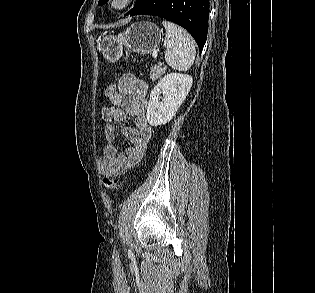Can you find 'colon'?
Instances as JSON below:
<instances>
[{"mask_svg":"<svg viewBox=\"0 0 315 293\" xmlns=\"http://www.w3.org/2000/svg\"><path fill=\"white\" fill-rule=\"evenodd\" d=\"M111 83L113 85L108 86L104 91V95L106 97H108L112 92H115L117 89L115 85L118 83V80L116 78H113L111 80ZM103 184H104L106 189L115 190L119 187V179L116 177H113V176L107 177L103 180Z\"/></svg>","mask_w":315,"mask_h":293,"instance_id":"1","label":"colon"}]
</instances>
